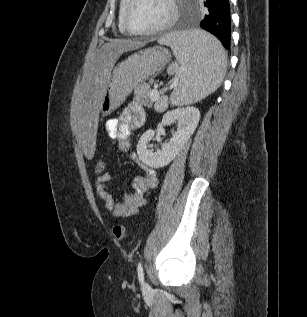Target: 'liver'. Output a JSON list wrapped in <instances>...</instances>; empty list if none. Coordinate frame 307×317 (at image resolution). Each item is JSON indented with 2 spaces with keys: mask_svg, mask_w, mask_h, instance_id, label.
I'll use <instances>...</instances> for the list:
<instances>
[{
  "mask_svg": "<svg viewBox=\"0 0 307 317\" xmlns=\"http://www.w3.org/2000/svg\"><path fill=\"white\" fill-rule=\"evenodd\" d=\"M144 45L145 42L127 39L110 40L85 65L83 80L71 113L72 130L79 139L77 148L81 149L83 159H92L99 148L94 133L98 123V108L101 107L100 101L116 60L122 53Z\"/></svg>",
  "mask_w": 307,
  "mask_h": 317,
  "instance_id": "liver-1",
  "label": "liver"
}]
</instances>
